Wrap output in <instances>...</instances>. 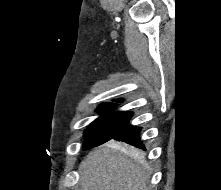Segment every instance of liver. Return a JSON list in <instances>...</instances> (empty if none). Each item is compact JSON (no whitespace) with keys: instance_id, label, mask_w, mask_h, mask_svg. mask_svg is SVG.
Returning <instances> with one entry per match:
<instances>
[{"instance_id":"6515ba94","label":"liver","mask_w":221,"mask_h":190,"mask_svg":"<svg viewBox=\"0 0 221 190\" xmlns=\"http://www.w3.org/2000/svg\"><path fill=\"white\" fill-rule=\"evenodd\" d=\"M128 155H133L134 160ZM144 156L110 142L89 153L79 166L81 190H149Z\"/></svg>"}]
</instances>
